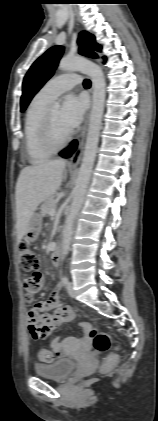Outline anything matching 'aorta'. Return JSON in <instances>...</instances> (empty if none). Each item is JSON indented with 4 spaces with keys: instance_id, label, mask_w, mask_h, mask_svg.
<instances>
[{
    "instance_id": "obj_1",
    "label": "aorta",
    "mask_w": 158,
    "mask_h": 421,
    "mask_svg": "<svg viewBox=\"0 0 158 421\" xmlns=\"http://www.w3.org/2000/svg\"><path fill=\"white\" fill-rule=\"evenodd\" d=\"M58 68L62 71H81L91 78L93 85L92 110L85 150L74 188L73 201L63 230L62 252L63 255H67L72 240L73 223L83 204L95 160L104 112L106 82L102 69L97 64L81 57L63 58L60 60ZM59 106L58 102L53 104L55 109H58Z\"/></svg>"
}]
</instances>
